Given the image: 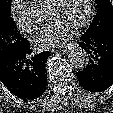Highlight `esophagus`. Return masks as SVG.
<instances>
[{
  "mask_svg": "<svg viewBox=\"0 0 113 113\" xmlns=\"http://www.w3.org/2000/svg\"><path fill=\"white\" fill-rule=\"evenodd\" d=\"M76 45V43H67V44H64L60 47V50H69L72 46Z\"/></svg>",
  "mask_w": 113,
  "mask_h": 113,
  "instance_id": "1",
  "label": "esophagus"
}]
</instances>
